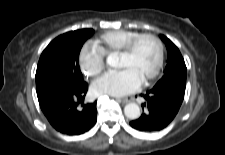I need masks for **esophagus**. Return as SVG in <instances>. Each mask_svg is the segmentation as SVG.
<instances>
[{
    "mask_svg": "<svg viewBox=\"0 0 225 155\" xmlns=\"http://www.w3.org/2000/svg\"><path fill=\"white\" fill-rule=\"evenodd\" d=\"M133 98L132 97H126V98H117V101L122 102V103H128L130 101H132Z\"/></svg>",
    "mask_w": 225,
    "mask_h": 155,
    "instance_id": "34e87169",
    "label": "esophagus"
}]
</instances>
